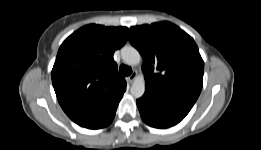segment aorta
Segmentation results:
<instances>
[{"label": "aorta", "mask_w": 261, "mask_h": 150, "mask_svg": "<svg viewBox=\"0 0 261 150\" xmlns=\"http://www.w3.org/2000/svg\"><path fill=\"white\" fill-rule=\"evenodd\" d=\"M121 56L123 61L130 65H138L141 61V55L137 49L132 46H125L121 49ZM131 95L135 98H140L145 92V80L139 76L135 78L130 89Z\"/></svg>", "instance_id": "aorta-1"}]
</instances>
